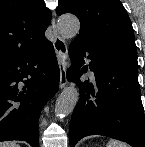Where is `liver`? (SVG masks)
Listing matches in <instances>:
<instances>
[{"label": "liver", "instance_id": "6515ba94", "mask_svg": "<svg viewBox=\"0 0 145 147\" xmlns=\"http://www.w3.org/2000/svg\"><path fill=\"white\" fill-rule=\"evenodd\" d=\"M0 147H20L15 142H0Z\"/></svg>", "mask_w": 145, "mask_h": 147}]
</instances>
